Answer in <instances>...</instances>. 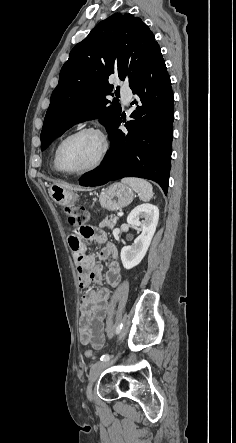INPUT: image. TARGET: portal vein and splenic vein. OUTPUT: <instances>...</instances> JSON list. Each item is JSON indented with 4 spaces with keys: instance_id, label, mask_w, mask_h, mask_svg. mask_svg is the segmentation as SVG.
<instances>
[{
    "instance_id": "18ae733b",
    "label": "portal vein and splenic vein",
    "mask_w": 236,
    "mask_h": 443,
    "mask_svg": "<svg viewBox=\"0 0 236 443\" xmlns=\"http://www.w3.org/2000/svg\"><path fill=\"white\" fill-rule=\"evenodd\" d=\"M117 215H118V216H122V215H123V213H122V212H120V213H118Z\"/></svg>"
}]
</instances>
